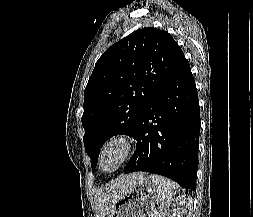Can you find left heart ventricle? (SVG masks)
<instances>
[{
	"label": "left heart ventricle",
	"instance_id": "obj_1",
	"mask_svg": "<svg viewBox=\"0 0 253 217\" xmlns=\"http://www.w3.org/2000/svg\"><path fill=\"white\" fill-rule=\"evenodd\" d=\"M117 156L118 152L116 150H112L111 152H109L104 160V167L106 169L111 168L115 164Z\"/></svg>",
	"mask_w": 253,
	"mask_h": 217
}]
</instances>
